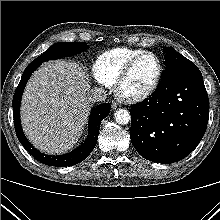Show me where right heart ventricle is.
Masks as SVG:
<instances>
[{
    "label": "right heart ventricle",
    "instance_id": "right-heart-ventricle-1",
    "mask_svg": "<svg viewBox=\"0 0 220 220\" xmlns=\"http://www.w3.org/2000/svg\"><path fill=\"white\" fill-rule=\"evenodd\" d=\"M142 49L114 48L102 53L94 65V75L106 85L115 84V81L126 64Z\"/></svg>",
    "mask_w": 220,
    "mask_h": 220
}]
</instances>
